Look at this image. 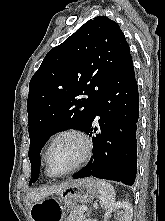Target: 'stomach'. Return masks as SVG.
<instances>
[{
	"label": "stomach",
	"instance_id": "0dacf381",
	"mask_svg": "<svg viewBox=\"0 0 165 221\" xmlns=\"http://www.w3.org/2000/svg\"><path fill=\"white\" fill-rule=\"evenodd\" d=\"M98 195L92 178L66 182L58 192L59 200H36L31 217H71L77 203H86ZM34 221H70V218H34Z\"/></svg>",
	"mask_w": 165,
	"mask_h": 221
}]
</instances>
